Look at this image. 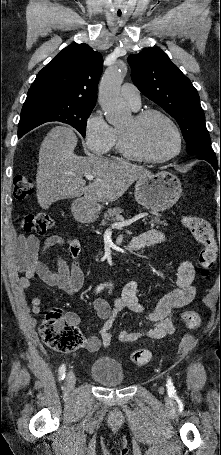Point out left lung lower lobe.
I'll return each mask as SVG.
<instances>
[{
    "label": "left lung lower lobe",
    "mask_w": 221,
    "mask_h": 455,
    "mask_svg": "<svg viewBox=\"0 0 221 455\" xmlns=\"http://www.w3.org/2000/svg\"><path fill=\"white\" fill-rule=\"evenodd\" d=\"M195 157L209 162L216 171L219 170V161L217 160L215 155L198 154V155H195ZM220 173H221V158H220Z\"/></svg>",
    "instance_id": "0a47b994"
}]
</instances>
